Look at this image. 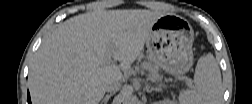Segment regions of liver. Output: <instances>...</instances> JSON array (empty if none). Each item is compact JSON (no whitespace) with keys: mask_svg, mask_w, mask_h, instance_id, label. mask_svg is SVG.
Wrapping results in <instances>:
<instances>
[{"mask_svg":"<svg viewBox=\"0 0 252 104\" xmlns=\"http://www.w3.org/2000/svg\"><path fill=\"white\" fill-rule=\"evenodd\" d=\"M159 11L96 10L61 23L42 43L28 86L35 104H98L111 80L123 79L149 37ZM120 65L106 63L107 54Z\"/></svg>","mask_w":252,"mask_h":104,"instance_id":"liver-1","label":"liver"}]
</instances>
